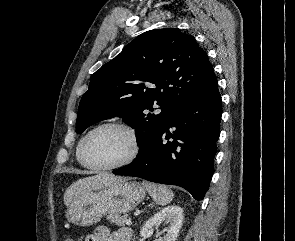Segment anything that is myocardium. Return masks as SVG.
I'll use <instances>...</instances> for the list:
<instances>
[{"mask_svg":"<svg viewBox=\"0 0 295 241\" xmlns=\"http://www.w3.org/2000/svg\"><path fill=\"white\" fill-rule=\"evenodd\" d=\"M112 127L122 129L129 135V138L131 141L130 153L128 154V156L125 159H123L122 161H120L118 163L112 164V165L91 164L90 162L87 161L86 156H85L86 146H87L88 141L93 136V134H95L97 131H100L105 128H112ZM140 149H141V143H140L139 136H138L136 130L132 126H130L127 123L120 122V121H109V122H104V123L99 124L98 126L94 127L84 136V138L80 144L78 156H79L80 163L88 169L95 170V171H112V170H117V169H120L122 167H125V166L131 164L137 158V156L140 152Z\"/></svg>","mask_w":295,"mask_h":241,"instance_id":"obj_1","label":"myocardium"}]
</instances>
